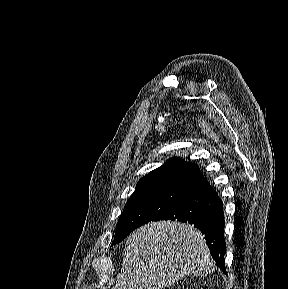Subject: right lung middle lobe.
<instances>
[{
    "instance_id": "dd1d6c3e",
    "label": "right lung middle lobe",
    "mask_w": 288,
    "mask_h": 289,
    "mask_svg": "<svg viewBox=\"0 0 288 289\" xmlns=\"http://www.w3.org/2000/svg\"><path fill=\"white\" fill-rule=\"evenodd\" d=\"M187 190L151 188L135 191L121 213L112 245L121 242L137 227L154 220L186 195Z\"/></svg>"
}]
</instances>
